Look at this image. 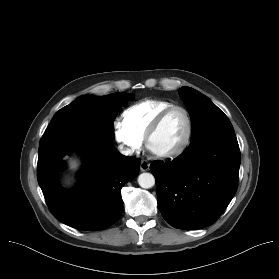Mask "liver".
<instances>
[{"label": "liver", "instance_id": "obj_1", "mask_svg": "<svg viewBox=\"0 0 279 279\" xmlns=\"http://www.w3.org/2000/svg\"><path fill=\"white\" fill-rule=\"evenodd\" d=\"M76 165H77L76 162L71 163V167H73V168L76 167Z\"/></svg>", "mask_w": 279, "mask_h": 279}]
</instances>
